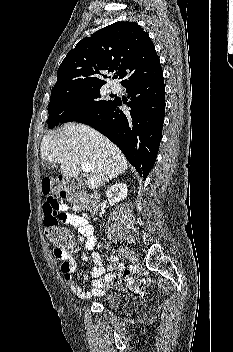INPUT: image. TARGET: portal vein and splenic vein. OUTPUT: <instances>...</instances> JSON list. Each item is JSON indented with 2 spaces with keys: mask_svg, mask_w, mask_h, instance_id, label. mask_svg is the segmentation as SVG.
<instances>
[{
  "mask_svg": "<svg viewBox=\"0 0 233 352\" xmlns=\"http://www.w3.org/2000/svg\"><path fill=\"white\" fill-rule=\"evenodd\" d=\"M58 162H63V159L59 158ZM81 169L84 173H90L93 170V167L89 163H81Z\"/></svg>",
  "mask_w": 233,
  "mask_h": 352,
  "instance_id": "1",
  "label": "portal vein and splenic vein"
}]
</instances>
